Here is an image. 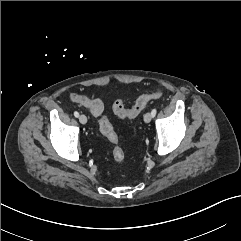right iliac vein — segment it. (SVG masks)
<instances>
[{"label":"right iliac vein","mask_w":241,"mask_h":241,"mask_svg":"<svg viewBox=\"0 0 241 241\" xmlns=\"http://www.w3.org/2000/svg\"><path fill=\"white\" fill-rule=\"evenodd\" d=\"M79 121L81 124H86L87 123V117L85 115H80L79 116Z\"/></svg>","instance_id":"right-iliac-vein-1"}]
</instances>
